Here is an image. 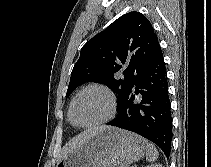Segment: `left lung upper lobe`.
Here are the masks:
<instances>
[{
  "label": "left lung upper lobe",
  "mask_w": 211,
  "mask_h": 167,
  "mask_svg": "<svg viewBox=\"0 0 211 167\" xmlns=\"http://www.w3.org/2000/svg\"><path fill=\"white\" fill-rule=\"evenodd\" d=\"M159 47L154 29L143 14H124L82 47L71 72L66 97L80 84L94 81L118 94L117 106L120 108ZM119 71L123 72V80L114 77Z\"/></svg>",
  "instance_id": "obj_1"
}]
</instances>
